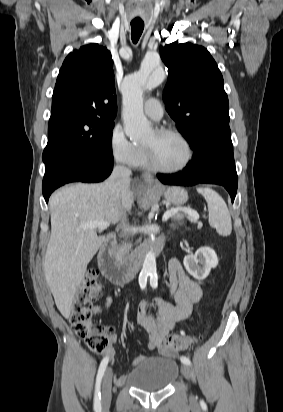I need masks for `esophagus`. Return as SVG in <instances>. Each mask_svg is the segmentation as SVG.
Listing matches in <instances>:
<instances>
[{
  "instance_id": "34e87169",
  "label": "esophagus",
  "mask_w": 283,
  "mask_h": 412,
  "mask_svg": "<svg viewBox=\"0 0 283 412\" xmlns=\"http://www.w3.org/2000/svg\"><path fill=\"white\" fill-rule=\"evenodd\" d=\"M143 178H144L145 182L150 184V185H153L155 183L153 176L149 173H145L143 175Z\"/></svg>"
}]
</instances>
